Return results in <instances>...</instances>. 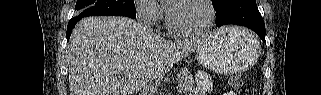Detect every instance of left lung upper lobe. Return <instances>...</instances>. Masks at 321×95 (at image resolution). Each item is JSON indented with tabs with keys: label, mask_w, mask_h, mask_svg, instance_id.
Returning <instances> with one entry per match:
<instances>
[{
	"label": "left lung upper lobe",
	"mask_w": 321,
	"mask_h": 95,
	"mask_svg": "<svg viewBox=\"0 0 321 95\" xmlns=\"http://www.w3.org/2000/svg\"><path fill=\"white\" fill-rule=\"evenodd\" d=\"M224 2L225 0H212L214 9L217 10Z\"/></svg>",
	"instance_id": "left-lung-upper-lobe-1"
}]
</instances>
